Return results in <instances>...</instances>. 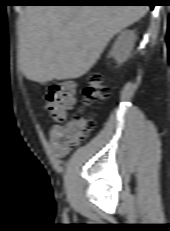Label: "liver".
Listing matches in <instances>:
<instances>
[{
    "label": "liver",
    "instance_id": "6515ba94",
    "mask_svg": "<svg viewBox=\"0 0 170 231\" xmlns=\"http://www.w3.org/2000/svg\"><path fill=\"white\" fill-rule=\"evenodd\" d=\"M148 10L143 5L28 6L20 16L19 66L39 83L81 77L109 41Z\"/></svg>",
    "mask_w": 170,
    "mask_h": 231
}]
</instances>
